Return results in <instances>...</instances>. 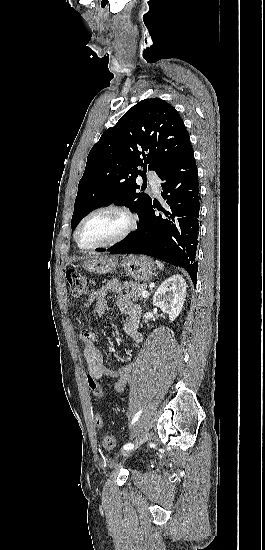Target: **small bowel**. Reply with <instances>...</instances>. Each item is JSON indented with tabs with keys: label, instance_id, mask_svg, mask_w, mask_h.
<instances>
[{
	"label": "small bowel",
	"instance_id": "c3829d8e",
	"mask_svg": "<svg viewBox=\"0 0 265 550\" xmlns=\"http://www.w3.org/2000/svg\"><path fill=\"white\" fill-rule=\"evenodd\" d=\"M119 289V284L115 281L110 282L108 285L99 288L92 296H90L85 302L84 307L94 305L95 313L97 315H103L108 310L107 297L113 291ZM117 308L125 316L124 331L126 335L135 342L141 341V334L139 333V319L141 310L137 304L132 303L125 295H119L116 300ZM80 339L84 343L83 356L88 366V377H92L96 381H100L103 376L111 377L115 379L114 390L118 393L122 392L127 385V382L131 374V365L125 364L119 369L113 370L105 366L102 360V355L99 348L95 344V333L92 330H83L80 334ZM101 386V385H100ZM101 397L104 396V389L101 386ZM99 398L98 396L94 395ZM99 416V415H96ZM95 416V417H96ZM94 422L96 424V418ZM96 426H98L96 424ZM102 426V425H101ZM98 426V427H101Z\"/></svg>",
	"mask_w": 265,
	"mask_h": 550
}]
</instances>
